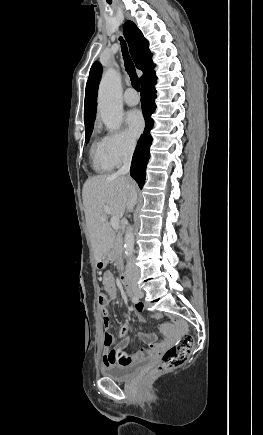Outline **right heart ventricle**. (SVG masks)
Returning <instances> with one entry per match:
<instances>
[{"mask_svg": "<svg viewBox=\"0 0 263 435\" xmlns=\"http://www.w3.org/2000/svg\"><path fill=\"white\" fill-rule=\"evenodd\" d=\"M90 158L92 167L96 172H110L114 168L111 162L103 139L95 138L90 147Z\"/></svg>", "mask_w": 263, "mask_h": 435, "instance_id": "obj_1", "label": "right heart ventricle"}]
</instances>
